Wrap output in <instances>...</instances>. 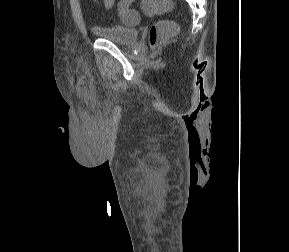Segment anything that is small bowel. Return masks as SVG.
<instances>
[{"instance_id":"obj_1","label":"small bowel","mask_w":289,"mask_h":252,"mask_svg":"<svg viewBox=\"0 0 289 252\" xmlns=\"http://www.w3.org/2000/svg\"><path fill=\"white\" fill-rule=\"evenodd\" d=\"M105 8L110 9L115 5L116 0H102Z\"/></svg>"}]
</instances>
